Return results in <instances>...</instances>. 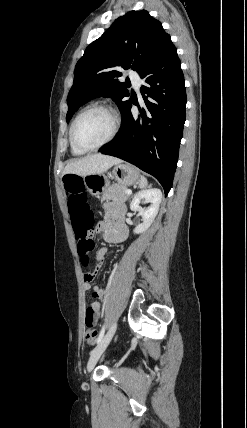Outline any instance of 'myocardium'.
<instances>
[{"label":"myocardium","mask_w":247,"mask_h":428,"mask_svg":"<svg viewBox=\"0 0 247 428\" xmlns=\"http://www.w3.org/2000/svg\"><path fill=\"white\" fill-rule=\"evenodd\" d=\"M92 110H103L106 113H108L112 119V129L110 134L108 135V137L102 141L101 143L95 145V146H83L81 144H79L75 138V127L76 124L78 122V120L80 119V117L82 115H84L85 113L92 111ZM120 124H121V120H120V116L118 114V112L110 105L108 104H104V103H96V104H92L86 108H84L82 111H80L76 117L74 118L71 127H70V141L73 144V146H75L76 148H78L79 150L82 151H94V150H98L100 148H102L103 146L109 144L117 135L119 129H120Z\"/></svg>","instance_id":"obj_1"}]
</instances>
